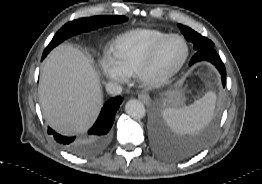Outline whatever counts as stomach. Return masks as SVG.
<instances>
[{
  "label": "stomach",
  "instance_id": "stomach-1",
  "mask_svg": "<svg viewBox=\"0 0 262 184\" xmlns=\"http://www.w3.org/2000/svg\"><path fill=\"white\" fill-rule=\"evenodd\" d=\"M182 99H183L182 94H180L179 92L173 91L167 97L166 102L176 107L181 104Z\"/></svg>",
  "mask_w": 262,
  "mask_h": 184
}]
</instances>
